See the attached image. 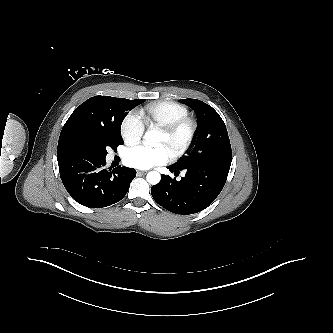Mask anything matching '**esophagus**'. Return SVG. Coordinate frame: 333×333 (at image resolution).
Segmentation results:
<instances>
[{"mask_svg": "<svg viewBox=\"0 0 333 333\" xmlns=\"http://www.w3.org/2000/svg\"><path fill=\"white\" fill-rule=\"evenodd\" d=\"M144 174H146V172L145 171H137V176H142V175H144Z\"/></svg>", "mask_w": 333, "mask_h": 333, "instance_id": "1", "label": "esophagus"}]
</instances>
